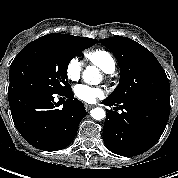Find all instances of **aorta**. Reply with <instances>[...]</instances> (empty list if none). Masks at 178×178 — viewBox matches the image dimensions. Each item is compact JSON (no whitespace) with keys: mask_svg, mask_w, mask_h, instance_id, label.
<instances>
[{"mask_svg":"<svg viewBox=\"0 0 178 178\" xmlns=\"http://www.w3.org/2000/svg\"><path fill=\"white\" fill-rule=\"evenodd\" d=\"M101 75L99 70L94 66H88L83 72V79L86 83L94 84L99 82ZM91 116L95 120H102L106 116V112L103 108L96 107L91 110Z\"/></svg>","mask_w":178,"mask_h":178,"instance_id":"762f6f07","label":"aorta"}]
</instances>
